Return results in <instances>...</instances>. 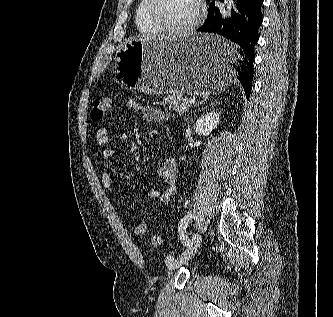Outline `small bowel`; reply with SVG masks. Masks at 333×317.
<instances>
[{"instance_id": "c3829d8e", "label": "small bowel", "mask_w": 333, "mask_h": 317, "mask_svg": "<svg viewBox=\"0 0 333 317\" xmlns=\"http://www.w3.org/2000/svg\"><path fill=\"white\" fill-rule=\"evenodd\" d=\"M129 110L135 112H141L143 116L150 121L154 122H166L168 117L166 114L155 106L142 105L135 99H129L126 103ZM96 143L104 150L102 156L104 159L112 158L116 154V150L110 146V134L106 127H100L95 134ZM157 175L164 183L162 191L152 189L148 195L150 198L157 200L158 205L168 204L177 192L176 179L178 176V167L175 159L167 158L157 168ZM112 173L110 170H106L102 174V184L107 189L112 187ZM149 228V222H142L133 227V232L136 235H142L147 232Z\"/></svg>"}]
</instances>
